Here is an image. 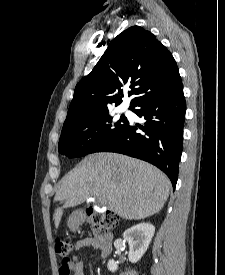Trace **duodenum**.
I'll use <instances>...</instances> for the list:
<instances>
[{
  "label": "duodenum",
  "instance_id": "410a0bca",
  "mask_svg": "<svg viewBox=\"0 0 225 275\" xmlns=\"http://www.w3.org/2000/svg\"><path fill=\"white\" fill-rule=\"evenodd\" d=\"M81 222L88 220L85 212L78 213ZM99 251L103 258L108 257L113 249V235L109 232L99 231L98 234Z\"/></svg>",
  "mask_w": 225,
  "mask_h": 275
}]
</instances>
